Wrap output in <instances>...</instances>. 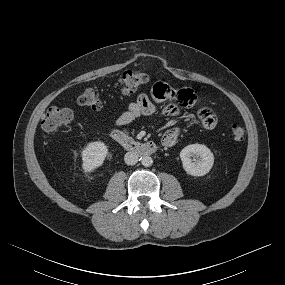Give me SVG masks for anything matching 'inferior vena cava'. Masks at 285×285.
<instances>
[{
    "label": "inferior vena cava",
    "mask_w": 285,
    "mask_h": 285,
    "mask_svg": "<svg viewBox=\"0 0 285 285\" xmlns=\"http://www.w3.org/2000/svg\"><path fill=\"white\" fill-rule=\"evenodd\" d=\"M124 161L127 165H134L138 161V156L134 152H127L124 156Z\"/></svg>",
    "instance_id": "obj_1"
}]
</instances>
